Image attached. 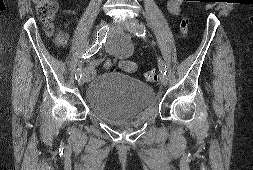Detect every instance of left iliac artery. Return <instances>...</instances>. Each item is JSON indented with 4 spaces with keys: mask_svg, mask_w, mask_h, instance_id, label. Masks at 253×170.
<instances>
[{
    "mask_svg": "<svg viewBox=\"0 0 253 170\" xmlns=\"http://www.w3.org/2000/svg\"><path fill=\"white\" fill-rule=\"evenodd\" d=\"M131 32L136 34L138 37H144L146 34V29L143 24H137V25L134 24ZM158 66H159L161 73L166 75V72H167L166 66L160 58L158 59Z\"/></svg>",
    "mask_w": 253,
    "mask_h": 170,
    "instance_id": "obj_1",
    "label": "left iliac artery"
}]
</instances>
